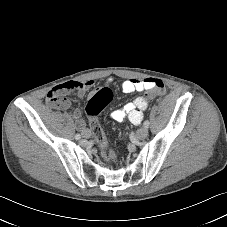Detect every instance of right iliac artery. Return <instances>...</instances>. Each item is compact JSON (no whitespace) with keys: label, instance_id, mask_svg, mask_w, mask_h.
I'll list each match as a JSON object with an SVG mask.
<instances>
[{"label":"right iliac artery","instance_id":"82829eb1","mask_svg":"<svg viewBox=\"0 0 227 227\" xmlns=\"http://www.w3.org/2000/svg\"><path fill=\"white\" fill-rule=\"evenodd\" d=\"M80 138H81V135H80V134H76V135H75V139H76V140H79Z\"/></svg>","mask_w":227,"mask_h":227}]
</instances>
